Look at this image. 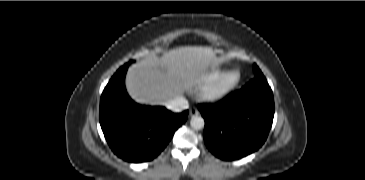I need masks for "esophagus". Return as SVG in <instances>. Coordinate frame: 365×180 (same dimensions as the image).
<instances>
[{"label": "esophagus", "instance_id": "34e87169", "mask_svg": "<svg viewBox=\"0 0 365 180\" xmlns=\"http://www.w3.org/2000/svg\"><path fill=\"white\" fill-rule=\"evenodd\" d=\"M199 114V111L195 108V107H192L189 109V115L190 116H195V115H198Z\"/></svg>", "mask_w": 365, "mask_h": 180}]
</instances>
